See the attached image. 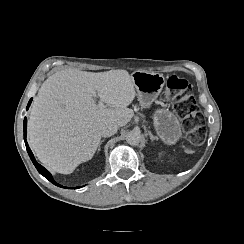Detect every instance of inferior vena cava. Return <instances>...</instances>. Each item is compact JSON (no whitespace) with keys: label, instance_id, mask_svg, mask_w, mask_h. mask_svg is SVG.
<instances>
[{"label":"inferior vena cava","instance_id":"inferior-vena-cava-1","mask_svg":"<svg viewBox=\"0 0 244 244\" xmlns=\"http://www.w3.org/2000/svg\"><path fill=\"white\" fill-rule=\"evenodd\" d=\"M117 130L118 125L115 122H109L101 128V134L103 136L108 137L114 135L117 132Z\"/></svg>","mask_w":244,"mask_h":244}]
</instances>
